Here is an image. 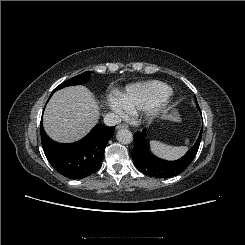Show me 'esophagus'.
Masks as SVG:
<instances>
[{"label":"esophagus","mask_w":245,"mask_h":245,"mask_svg":"<svg viewBox=\"0 0 245 245\" xmlns=\"http://www.w3.org/2000/svg\"><path fill=\"white\" fill-rule=\"evenodd\" d=\"M128 128V125L127 124H125V123H122V124H119V125H117L116 126V129H127Z\"/></svg>","instance_id":"esophagus-1"}]
</instances>
